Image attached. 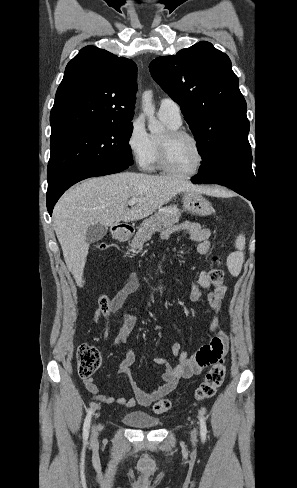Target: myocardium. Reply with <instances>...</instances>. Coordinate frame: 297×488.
Listing matches in <instances>:
<instances>
[{"instance_id": "myocardium-1", "label": "myocardium", "mask_w": 297, "mask_h": 488, "mask_svg": "<svg viewBox=\"0 0 297 488\" xmlns=\"http://www.w3.org/2000/svg\"><path fill=\"white\" fill-rule=\"evenodd\" d=\"M188 139L192 141L197 149L198 152V162L195 168L189 172H180L174 169L170 163V146L171 144L178 140V139ZM158 161L160 167L168 174L180 177V178H190L197 175L205 162V153L200 141L191 133L182 130V129H172L170 130L165 138L159 140V154H158Z\"/></svg>"}]
</instances>
